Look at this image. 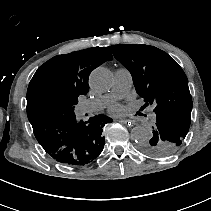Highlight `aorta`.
Instances as JSON below:
<instances>
[{
	"mask_svg": "<svg viewBox=\"0 0 211 211\" xmlns=\"http://www.w3.org/2000/svg\"><path fill=\"white\" fill-rule=\"evenodd\" d=\"M113 76L112 73L104 67H98L92 71L89 77L90 87L97 92H105L112 87ZM150 137L149 130L142 126L137 125L131 130V138L138 143L147 140Z\"/></svg>",
	"mask_w": 211,
	"mask_h": 211,
	"instance_id": "obj_1",
	"label": "aorta"
}]
</instances>
